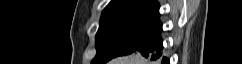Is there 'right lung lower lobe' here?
I'll return each instance as SVG.
<instances>
[{
  "label": "right lung lower lobe",
  "instance_id": "right-lung-lower-lobe-1",
  "mask_svg": "<svg viewBox=\"0 0 242 64\" xmlns=\"http://www.w3.org/2000/svg\"><path fill=\"white\" fill-rule=\"evenodd\" d=\"M161 29L150 38L144 45H142L137 51H139L144 57H150L151 60H157L162 56V39H161ZM162 64H169V59L167 57H163L161 60Z\"/></svg>",
  "mask_w": 242,
  "mask_h": 64
}]
</instances>
